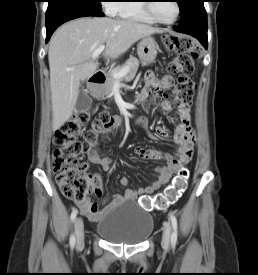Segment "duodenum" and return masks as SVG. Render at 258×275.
I'll return each instance as SVG.
<instances>
[{"label": "duodenum", "mask_w": 258, "mask_h": 275, "mask_svg": "<svg viewBox=\"0 0 258 275\" xmlns=\"http://www.w3.org/2000/svg\"><path fill=\"white\" fill-rule=\"evenodd\" d=\"M106 80L105 73L103 71H96L91 77H90V85H91V93L94 97H98V93L100 90V87L103 85V83Z\"/></svg>", "instance_id": "410a0bca"}]
</instances>
